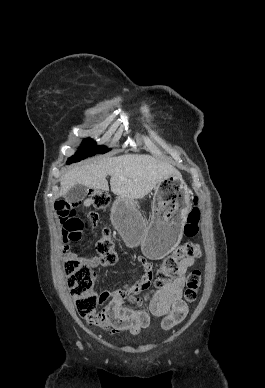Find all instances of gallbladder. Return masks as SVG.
I'll use <instances>...</instances> for the list:
<instances>
[{
    "label": "gallbladder",
    "instance_id": "gallbladder-1",
    "mask_svg": "<svg viewBox=\"0 0 265 388\" xmlns=\"http://www.w3.org/2000/svg\"><path fill=\"white\" fill-rule=\"evenodd\" d=\"M87 192L86 186H83V184H75L74 188H71V190L65 194L64 198L69 204H77V202L84 200L85 196H87Z\"/></svg>",
    "mask_w": 265,
    "mask_h": 388
}]
</instances>
